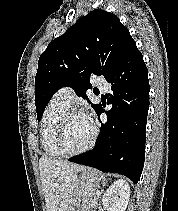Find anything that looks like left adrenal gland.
I'll use <instances>...</instances> for the list:
<instances>
[{
	"mask_svg": "<svg viewBox=\"0 0 178 211\" xmlns=\"http://www.w3.org/2000/svg\"><path fill=\"white\" fill-rule=\"evenodd\" d=\"M105 184H106V181H104L103 182V185H102V187H104L105 186ZM103 192V190L101 189V193Z\"/></svg>",
	"mask_w": 178,
	"mask_h": 211,
	"instance_id": "1",
	"label": "left adrenal gland"
}]
</instances>
